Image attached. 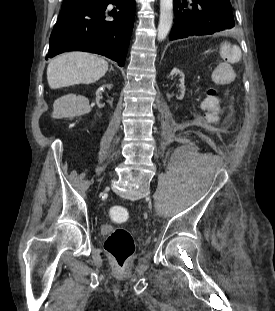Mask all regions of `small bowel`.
I'll return each instance as SVG.
<instances>
[{"mask_svg": "<svg viewBox=\"0 0 275 311\" xmlns=\"http://www.w3.org/2000/svg\"><path fill=\"white\" fill-rule=\"evenodd\" d=\"M240 61L241 50L239 46H232L228 42L219 46V56L215 58L211 80L206 82L207 86L202 93V101H199L200 112L206 116V122H217L218 116H221L222 101L221 97L217 96V87H227L229 83L234 81L235 74L232 63Z\"/></svg>", "mask_w": 275, "mask_h": 311, "instance_id": "c3829d8e", "label": "small bowel"}]
</instances>
